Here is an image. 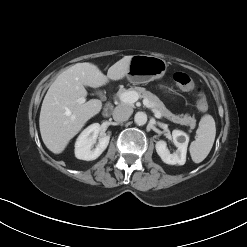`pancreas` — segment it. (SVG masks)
I'll return each mask as SVG.
<instances>
[{
	"instance_id": "cf45deb5",
	"label": "pancreas",
	"mask_w": 247,
	"mask_h": 247,
	"mask_svg": "<svg viewBox=\"0 0 247 247\" xmlns=\"http://www.w3.org/2000/svg\"><path fill=\"white\" fill-rule=\"evenodd\" d=\"M127 91H135L138 93L140 98H144L146 99L149 104L154 107L157 111L160 112V114L169 119L170 121L174 122V123H178L181 125H185V126H189L191 131L192 129L195 128L196 126V119L194 117H191L189 114H185V115H174L172 114L163 104V102L153 93H151L150 91H147L145 88L143 87H134V88H129V89H119L118 91V96L120 97V95L124 92Z\"/></svg>"
}]
</instances>
